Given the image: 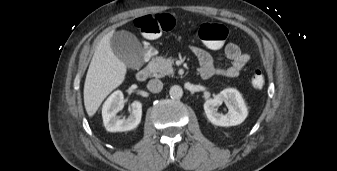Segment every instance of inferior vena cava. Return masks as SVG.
<instances>
[{"label":"inferior vena cava","instance_id":"1","mask_svg":"<svg viewBox=\"0 0 337 171\" xmlns=\"http://www.w3.org/2000/svg\"><path fill=\"white\" fill-rule=\"evenodd\" d=\"M147 88L153 93H159L163 88V83L159 79H152L148 82Z\"/></svg>","mask_w":337,"mask_h":171}]
</instances>
